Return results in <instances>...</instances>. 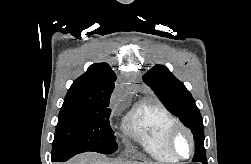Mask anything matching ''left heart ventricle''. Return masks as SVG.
<instances>
[{
  "label": "left heart ventricle",
  "instance_id": "b2bd125f",
  "mask_svg": "<svg viewBox=\"0 0 251 164\" xmlns=\"http://www.w3.org/2000/svg\"><path fill=\"white\" fill-rule=\"evenodd\" d=\"M173 147H174V151L177 154H179L181 156H186L190 150V144H189V141H188L186 135L183 133H180L176 137L174 144H173Z\"/></svg>",
  "mask_w": 251,
  "mask_h": 164
}]
</instances>
